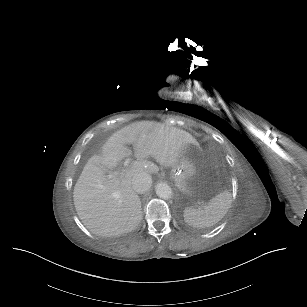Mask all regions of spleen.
Returning <instances> with one entry per match:
<instances>
[{"instance_id":"obj_1","label":"spleen","mask_w":307,"mask_h":307,"mask_svg":"<svg viewBox=\"0 0 307 307\" xmlns=\"http://www.w3.org/2000/svg\"><path fill=\"white\" fill-rule=\"evenodd\" d=\"M231 194L223 191L213 197L207 205L198 209L186 208L183 211V218L190 226L209 227L219 222L231 206Z\"/></svg>"}]
</instances>
